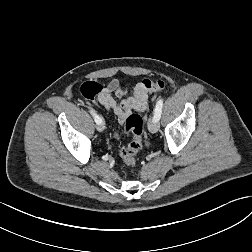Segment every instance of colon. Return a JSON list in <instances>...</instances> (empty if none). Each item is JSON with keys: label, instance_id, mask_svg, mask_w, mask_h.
<instances>
[{"label": "colon", "instance_id": "obj_1", "mask_svg": "<svg viewBox=\"0 0 252 252\" xmlns=\"http://www.w3.org/2000/svg\"><path fill=\"white\" fill-rule=\"evenodd\" d=\"M141 83L147 91H161L166 86L165 82L160 79H144ZM101 91V85L94 81L84 82L81 86L82 96L89 100H96ZM143 131L142 118L137 114H131L125 121L123 132H115L116 137H120L125 133H131L133 135L132 141L122 148L120 152L123 163L129 168L135 165V156L142 147Z\"/></svg>", "mask_w": 252, "mask_h": 252}]
</instances>
